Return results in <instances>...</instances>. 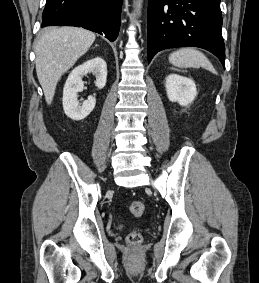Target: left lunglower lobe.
<instances>
[{"label":"left lung lower lobe","instance_id":"obj_1","mask_svg":"<svg viewBox=\"0 0 259 283\" xmlns=\"http://www.w3.org/2000/svg\"><path fill=\"white\" fill-rule=\"evenodd\" d=\"M220 0H149L148 62L166 48L193 46L212 52L225 67Z\"/></svg>","mask_w":259,"mask_h":283}]
</instances>
